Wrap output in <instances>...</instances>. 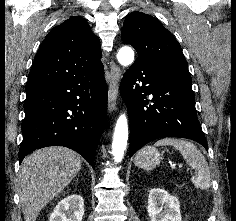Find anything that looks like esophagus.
<instances>
[{
  "instance_id": "obj_1",
  "label": "esophagus",
  "mask_w": 236,
  "mask_h": 221,
  "mask_svg": "<svg viewBox=\"0 0 236 221\" xmlns=\"http://www.w3.org/2000/svg\"><path fill=\"white\" fill-rule=\"evenodd\" d=\"M120 68L114 61L110 62V82L108 89V110L110 113L116 110V102L119 93Z\"/></svg>"
}]
</instances>
